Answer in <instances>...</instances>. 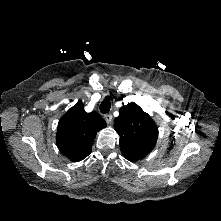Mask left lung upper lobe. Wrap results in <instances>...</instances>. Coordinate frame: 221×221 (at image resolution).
I'll return each mask as SVG.
<instances>
[{
  "label": "left lung upper lobe",
  "instance_id": "obj_1",
  "mask_svg": "<svg viewBox=\"0 0 221 221\" xmlns=\"http://www.w3.org/2000/svg\"><path fill=\"white\" fill-rule=\"evenodd\" d=\"M114 127L120 136L121 153L129 161H137L155 147L158 128L151 117L135 103L122 106Z\"/></svg>",
  "mask_w": 221,
  "mask_h": 221
}]
</instances>
